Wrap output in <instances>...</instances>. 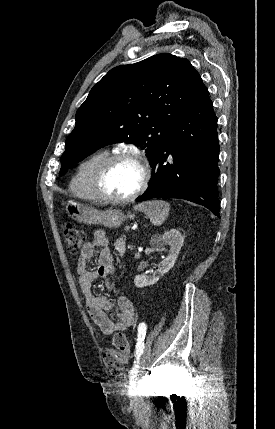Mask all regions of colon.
Instances as JSON below:
<instances>
[{
  "instance_id": "colon-1",
  "label": "colon",
  "mask_w": 275,
  "mask_h": 429,
  "mask_svg": "<svg viewBox=\"0 0 275 429\" xmlns=\"http://www.w3.org/2000/svg\"><path fill=\"white\" fill-rule=\"evenodd\" d=\"M63 234L68 251L71 254L78 253L84 245L83 232L72 224L65 223ZM111 344L113 348L103 354V364L111 375L118 376L122 373L129 359V342L123 333L116 332L112 336Z\"/></svg>"
}]
</instances>
